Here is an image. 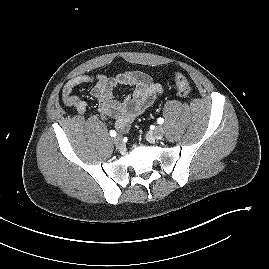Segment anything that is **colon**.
Listing matches in <instances>:
<instances>
[{
	"mask_svg": "<svg viewBox=\"0 0 269 269\" xmlns=\"http://www.w3.org/2000/svg\"><path fill=\"white\" fill-rule=\"evenodd\" d=\"M174 78L179 96L187 98L191 92L187 78L182 73H176Z\"/></svg>",
	"mask_w": 269,
	"mask_h": 269,
	"instance_id": "obj_1",
	"label": "colon"
}]
</instances>
